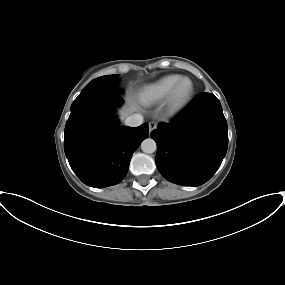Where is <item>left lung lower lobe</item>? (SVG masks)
<instances>
[{
    "instance_id": "left-lung-lower-lobe-1",
    "label": "left lung lower lobe",
    "mask_w": 285,
    "mask_h": 285,
    "mask_svg": "<svg viewBox=\"0 0 285 285\" xmlns=\"http://www.w3.org/2000/svg\"><path fill=\"white\" fill-rule=\"evenodd\" d=\"M157 144L155 162L168 181L199 186L220 167L228 147V127L214 94L203 93L170 124L151 133Z\"/></svg>"
}]
</instances>
